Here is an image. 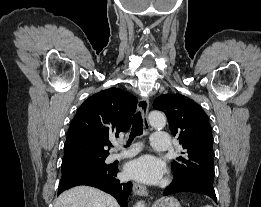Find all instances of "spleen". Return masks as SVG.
Instances as JSON below:
<instances>
[{
	"label": "spleen",
	"mask_w": 261,
	"mask_h": 207,
	"mask_svg": "<svg viewBox=\"0 0 261 207\" xmlns=\"http://www.w3.org/2000/svg\"><path fill=\"white\" fill-rule=\"evenodd\" d=\"M205 207H212L211 205H206Z\"/></svg>",
	"instance_id": "spleen-1"
}]
</instances>
